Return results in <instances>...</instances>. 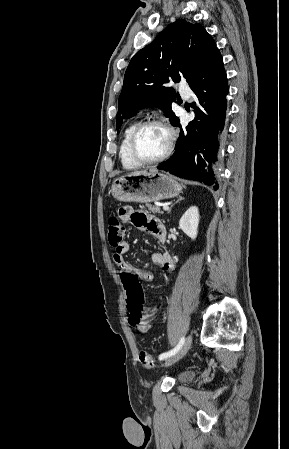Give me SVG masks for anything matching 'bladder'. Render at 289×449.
<instances>
[{"mask_svg": "<svg viewBox=\"0 0 289 449\" xmlns=\"http://www.w3.org/2000/svg\"><path fill=\"white\" fill-rule=\"evenodd\" d=\"M194 375H195L194 371H184L178 376V379L180 381H187V380L193 378Z\"/></svg>", "mask_w": 289, "mask_h": 449, "instance_id": "bladder-1", "label": "bladder"}]
</instances>
